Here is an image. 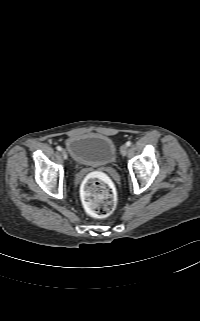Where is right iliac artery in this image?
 <instances>
[{
  "label": "right iliac artery",
  "mask_w": 200,
  "mask_h": 321,
  "mask_svg": "<svg viewBox=\"0 0 200 321\" xmlns=\"http://www.w3.org/2000/svg\"><path fill=\"white\" fill-rule=\"evenodd\" d=\"M56 149H57L58 151H61V150H62L61 146H57Z\"/></svg>",
  "instance_id": "1"
}]
</instances>
